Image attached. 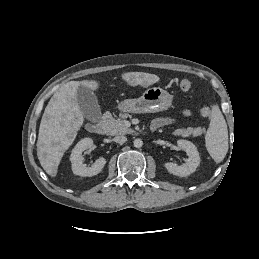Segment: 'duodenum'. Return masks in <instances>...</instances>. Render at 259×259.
<instances>
[{"label": "duodenum", "mask_w": 259, "mask_h": 259, "mask_svg": "<svg viewBox=\"0 0 259 259\" xmlns=\"http://www.w3.org/2000/svg\"><path fill=\"white\" fill-rule=\"evenodd\" d=\"M86 129L89 133L92 134H98L102 135L105 133V125L102 122H97V123H88L86 125ZM156 128L151 127V130H155Z\"/></svg>", "instance_id": "obj_1"}]
</instances>
